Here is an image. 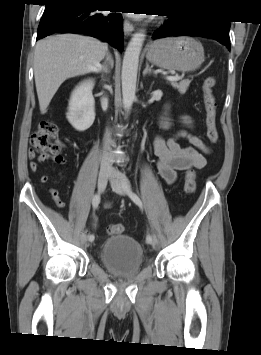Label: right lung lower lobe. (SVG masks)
Masks as SVG:
<instances>
[{
	"label": "right lung lower lobe",
	"instance_id": "1",
	"mask_svg": "<svg viewBox=\"0 0 261 355\" xmlns=\"http://www.w3.org/2000/svg\"><path fill=\"white\" fill-rule=\"evenodd\" d=\"M37 40L53 33H83L123 50V19L118 13H95L99 4L87 0H45Z\"/></svg>",
	"mask_w": 261,
	"mask_h": 355
}]
</instances>
